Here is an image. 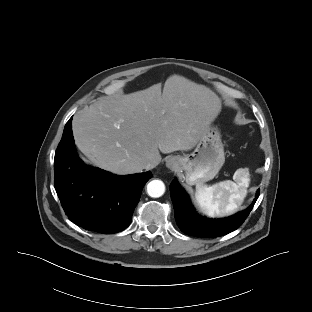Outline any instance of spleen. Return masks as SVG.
Here are the masks:
<instances>
[{"instance_id":"obj_1","label":"spleen","mask_w":312,"mask_h":312,"mask_svg":"<svg viewBox=\"0 0 312 312\" xmlns=\"http://www.w3.org/2000/svg\"><path fill=\"white\" fill-rule=\"evenodd\" d=\"M234 181L225 180L212 186L196 185L195 198L208 216H226L235 212L243 203L249 184L246 169L239 168Z\"/></svg>"}]
</instances>
